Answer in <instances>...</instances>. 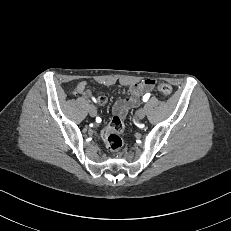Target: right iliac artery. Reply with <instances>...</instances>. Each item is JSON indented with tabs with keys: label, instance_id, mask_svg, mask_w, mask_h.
<instances>
[{
	"label": "right iliac artery",
	"instance_id": "right-iliac-artery-1",
	"mask_svg": "<svg viewBox=\"0 0 231 231\" xmlns=\"http://www.w3.org/2000/svg\"><path fill=\"white\" fill-rule=\"evenodd\" d=\"M92 99H93L94 102H96V99H95V98H92ZM96 121H97L98 123H100V122H101V118H100V117H97V118H96Z\"/></svg>",
	"mask_w": 231,
	"mask_h": 231
}]
</instances>
